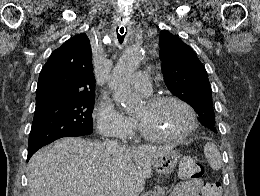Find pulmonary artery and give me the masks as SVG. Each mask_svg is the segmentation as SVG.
Returning <instances> with one entry per match:
<instances>
[{"instance_id": "1", "label": "pulmonary artery", "mask_w": 260, "mask_h": 196, "mask_svg": "<svg viewBox=\"0 0 260 196\" xmlns=\"http://www.w3.org/2000/svg\"><path fill=\"white\" fill-rule=\"evenodd\" d=\"M135 79H128V84L130 85V90H136L144 95H149L151 93V76H148L146 69H141L140 72L135 73Z\"/></svg>"}]
</instances>
